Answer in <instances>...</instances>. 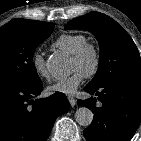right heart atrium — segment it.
I'll use <instances>...</instances> for the list:
<instances>
[{"instance_id": "obj_1", "label": "right heart atrium", "mask_w": 141, "mask_h": 141, "mask_svg": "<svg viewBox=\"0 0 141 141\" xmlns=\"http://www.w3.org/2000/svg\"><path fill=\"white\" fill-rule=\"evenodd\" d=\"M32 65L35 72L41 77H48V70L44 57L40 53H35L32 57Z\"/></svg>"}]
</instances>
